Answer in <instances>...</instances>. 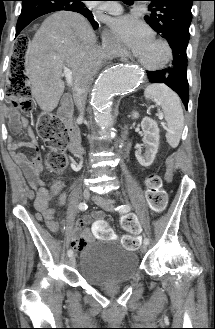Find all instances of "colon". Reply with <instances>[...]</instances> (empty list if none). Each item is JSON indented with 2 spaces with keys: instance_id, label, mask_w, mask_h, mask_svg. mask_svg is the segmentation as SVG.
<instances>
[{
  "instance_id": "1",
  "label": "colon",
  "mask_w": 215,
  "mask_h": 329,
  "mask_svg": "<svg viewBox=\"0 0 215 329\" xmlns=\"http://www.w3.org/2000/svg\"><path fill=\"white\" fill-rule=\"evenodd\" d=\"M29 44H35V37L25 35L14 37L12 65L8 79L9 102H7V109H19L23 112L32 110L31 91L24 68L25 55ZM37 130L39 136L51 149L46 157L47 167L53 173H61L67 166L65 149L69 142L63 121L55 114L44 113L40 116ZM146 184V198L150 207L155 212L163 211L166 206V193L162 189L160 177L155 173H151ZM122 225L127 232L122 239L123 245L129 249H136L140 240L137 237L140 224L134 216H127Z\"/></svg>"
}]
</instances>
